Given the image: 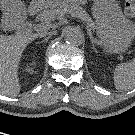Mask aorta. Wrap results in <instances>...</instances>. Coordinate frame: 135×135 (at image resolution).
Listing matches in <instances>:
<instances>
[{"label":"aorta","instance_id":"762f6f07","mask_svg":"<svg viewBox=\"0 0 135 135\" xmlns=\"http://www.w3.org/2000/svg\"><path fill=\"white\" fill-rule=\"evenodd\" d=\"M65 41L73 46H79L82 44L83 40H84V35L82 33V31L77 28V27H73V26H69L65 29Z\"/></svg>","mask_w":135,"mask_h":135}]
</instances>
